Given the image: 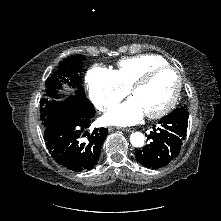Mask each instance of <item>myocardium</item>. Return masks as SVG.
<instances>
[{"label": "myocardium", "instance_id": "obj_1", "mask_svg": "<svg viewBox=\"0 0 221 221\" xmlns=\"http://www.w3.org/2000/svg\"><path fill=\"white\" fill-rule=\"evenodd\" d=\"M164 70H172L176 73L177 85H176L175 91H174L171 99L168 101V103L163 108H161L160 110H158L156 112L146 114V116L149 119L162 118L163 116L167 115L174 108V106L176 105V103L180 97V93H181V89H182L183 79H182L181 72L175 66L170 65V64L158 65V66L148 69L138 80H136L134 82V84L129 89L130 94L133 95L135 93V91H137L138 89H140L143 86H145L146 84H148L157 73L164 71Z\"/></svg>", "mask_w": 221, "mask_h": 221}]
</instances>
